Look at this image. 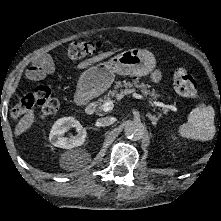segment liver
Instances as JSON below:
<instances>
[{"mask_svg":"<svg viewBox=\"0 0 221 221\" xmlns=\"http://www.w3.org/2000/svg\"><path fill=\"white\" fill-rule=\"evenodd\" d=\"M115 51H109V52H103L97 56H94L92 58H89L81 63L78 64V69H84L96 62H99L105 58H108L109 56L113 55ZM35 114L33 110H30L28 113H26L18 122L16 128H15V135L19 136L20 134L26 132L28 129L31 128L33 123L35 122Z\"/></svg>","mask_w":221,"mask_h":221,"instance_id":"1","label":"liver"}]
</instances>
